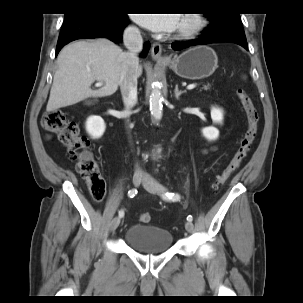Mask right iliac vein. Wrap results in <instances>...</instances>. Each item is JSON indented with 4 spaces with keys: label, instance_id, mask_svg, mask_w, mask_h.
<instances>
[{
    "label": "right iliac vein",
    "instance_id": "right-iliac-vein-1",
    "mask_svg": "<svg viewBox=\"0 0 303 303\" xmlns=\"http://www.w3.org/2000/svg\"><path fill=\"white\" fill-rule=\"evenodd\" d=\"M142 180H143V175H142V174L135 173V174L133 175L132 182H133V184H134L135 186H139ZM120 221H121L120 217H115V218H113V219L111 220L110 226H109L110 231L116 230L117 227H118L119 224H120Z\"/></svg>",
    "mask_w": 303,
    "mask_h": 303
}]
</instances>
